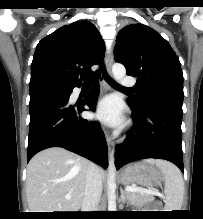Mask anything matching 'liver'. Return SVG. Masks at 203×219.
I'll return each instance as SVG.
<instances>
[{"mask_svg":"<svg viewBox=\"0 0 203 219\" xmlns=\"http://www.w3.org/2000/svg\"><path fill=\"white\" fill-rule=\"evenodd\" d=\"M90 161L64 148L37 153L27 166L26 193L31 212H78ZM99 178L105 171L98 167ZM70 195V199L65 196Z\"/></svg>","mask_w":203,"mask_h":219,"instance_id":"liver-1","label":"liver"}]
</instances>
